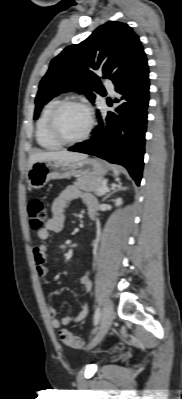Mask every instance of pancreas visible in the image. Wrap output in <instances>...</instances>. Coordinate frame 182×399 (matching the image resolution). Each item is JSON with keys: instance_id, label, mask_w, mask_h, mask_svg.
I'll use <instances>...</instances> for the list:
<instances>
[{"instance_id": "1", "label": "pancreas", "mask_w": 182, "mask_h": 399, "mask_svg": "<svg viewBox=\"0 0 182 399\" xmlns=\"http://www.w3.org/2000/svg\"><path fill=\"white\" fill-rule=\"evenodd\" d=\"M74 185L83 191L94 192L97 196H101L99 188L103 187V179L99 177H79Z\"/></svg>"}]
</instances>
